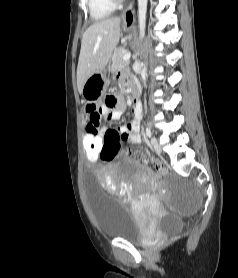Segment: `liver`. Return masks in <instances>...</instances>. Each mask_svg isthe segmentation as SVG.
I'll return each mask as SVG.
<instances>
[{
	"label": "liver",
	"mask_w": 238,
	"mask_h": 278,
	"mask_svg": "<svg viewBox=\"0 0 238 278\" xmlns=\"http://www.w3.org/2000/svg\"><path fill=\"white\" fill-rule=\"evenodd\" d=\"M119 17L93 23L82 36L77 67V87L81 94L87 79L102 72L120 39Z\"/></svg>",
	"instance_id": "6515ba94"
}]
</instances>
